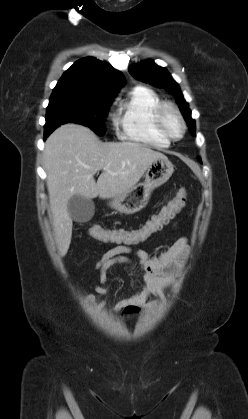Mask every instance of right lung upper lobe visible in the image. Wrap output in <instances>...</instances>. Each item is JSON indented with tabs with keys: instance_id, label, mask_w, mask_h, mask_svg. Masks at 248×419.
Instances as JSON below:
<instances>
[{
	"instance_id": "cb5924a9",
	"label": "right lung upper lobe",
	"mask_w": 248,
	"mask_h": 419,
	"mask_svg": "<svg viewBox=\"0 0 248 419\" xmlns=\"http://www.w3.org/2000/svg\"><path fill=\"white\" fill-rule=\"evenodd\" d=\"M125 77L110 64L93 57H85L74 63L58 81L54 90L109 96L116 95L124 85Z\"/></svg>"
}]
</instances>
